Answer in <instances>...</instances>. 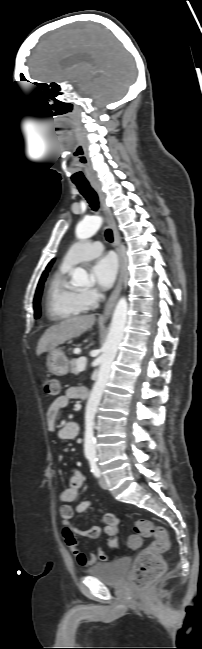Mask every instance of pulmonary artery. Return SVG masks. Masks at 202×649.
<instances>
[{
  "label": "pulmonary artery",
  "mask_w": 202,
  "mask_h": 649,
  "mask_svg": "<svg viewBox=\"0 0 202 649\" xmlns=\"http://www.w3.org/2000/svg\"><path fill=\"white\" fill-rule=\"evenodd\" d=\"M103 251V245L99 241H80L73 244L67 251L63 263L68 265L77 264L98 256Z\"/></svg>",
  "instance_id": "pulmonary-artery-1"
}]
</instances>
